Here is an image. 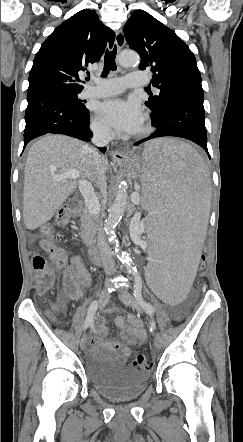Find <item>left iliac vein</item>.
Here are the masks:
<instances>
[{"mask_svg":"<svg viewBox=\"0 0 243 442\" xmlns=\"http://www.w3.org/2000/svg\"><path fill=\"white\" fill-rule=\"evenodd\" d=\"M118 296L122 302L130 306L133 310L140 311L137 301L127 290H122ZM153 345L156 350L161 348V336L159 333L155 334Z\"/></svg>","mask_w":243,"mask_h":442,"instance_id":"4c4485c4","label":"left iliac vein"}]
</instances>
